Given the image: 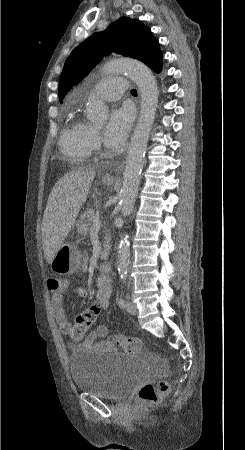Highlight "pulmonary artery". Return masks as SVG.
I'll list each match as a JSON object with an SVG mask.
<instances>
[{
  "mask_svg": "<svg viewBox=\"0 0 245 450\" xmlns=\"http://www.w3.org/2000/svg\"><path fill=\"white\" fill-rule=\"evenodd\" d=\"M126 82L123 77H107L96 84L95 92L104 100L115 101L126 92Z\"/></svg>",
  "mask_w": 245,
  "mask_h": 450,
  "instance_id": "e3ab8cb5",
  "label": "pulmonary artery"
}]
</instances>
